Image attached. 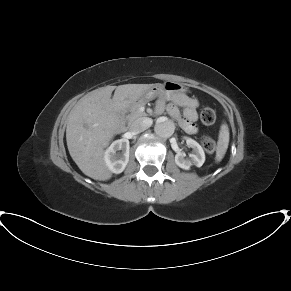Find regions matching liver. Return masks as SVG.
I'll return each instance as SVG.
<instances>
[{
  "instance_id": "1",
  "label": "liver",
  "mask_w": 291,
  "mask_h": 291,
  "mask_svg": "<svg viewBox=\"0 0 291 291\" xmlns=\"http://www.w3.org/2000/svg\"><path fill=\"white\" fill-rule=\"evenodd\" d=\"M151 86L101 87L82 97L70 111L66 127L67 146L70 156L85 175L99 181L112 177L105 164L104 151L119 130L121 122L117 112L143 98Z\"/></svg>"
}]
</instances>
